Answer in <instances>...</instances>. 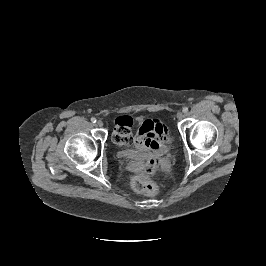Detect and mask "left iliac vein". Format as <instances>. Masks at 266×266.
Returning a JSON list of instances; mask_svg holds the SVG:
<instances>
[{"mask_svg":"<svg viewBox=\"0 0 266 266\" xmlns=\"http://www.w3.org/2000/svg\"><path fill=\"white\" fill-rule=\"evenodd\" d=\"M176 117L178 120H182L184 118V114L182 112H178Z\"/></svg>","mask_w":266,"mask_h":266,"instance_id":"obj_1","label":"left iliac vein"}]
</instances>
